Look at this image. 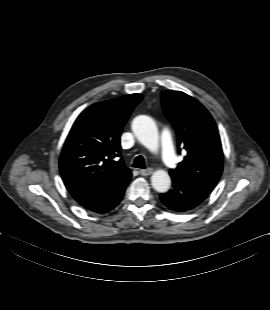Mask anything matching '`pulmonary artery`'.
I'll return each mask as SVG.
<instances>
[{
    "label": "pulmonary artery",
    "mask_w": 270,
    "mask_h": 310,
    "mask_svg": "<svg viewBox=\"0 0 270 310\" xmlns=\"http://www.w3.org/2000/svg\"><path fill=\"white\" fill-rule=\"evenodd\" d=\"M161 157L163 163L172 168L176 164L175 153L172 147L171 138L167 132L163 133L162 136V150H161Z\"/></svg>",
    "instance_id": "e3ab8cb5"
}]
</instances>
